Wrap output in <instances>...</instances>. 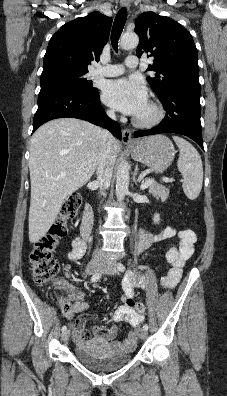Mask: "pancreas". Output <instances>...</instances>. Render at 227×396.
<instances>
[{
	"instance_id": "pancreas-1",
	"label": "pancreas",
	"mask_w": 227,
	"mask_h": 396,
	"mask_svg": "<svg viewBox=\"0 0 227 396\" xmlns=\"http://www.w3.org/2000/svg\"><path fill=\"white\" fill-rule=\"evenodd\" d=\"M149 193L153 194L157 199L160 198L162 201H165L169 197V189L163 185H159L156 182H153L149 186Z\"/></svg>"
}]
</instances>
